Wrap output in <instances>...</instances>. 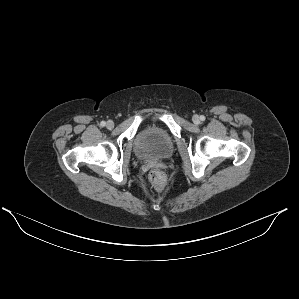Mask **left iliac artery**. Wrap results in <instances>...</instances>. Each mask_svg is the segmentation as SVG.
Returning <instances> with one entry per match:
<instances>
[{"label":"left iliac artery","instance_id":"44dca946","mask_svg":"<svg viewBox=\"0 0 299 299\" xmlns=\"http://www.w3.org/2000/svg\"><path fill=\"white\" fill-rule=\"evenodd\" d=\"M200 120H201V121H204V120H205V116L201 115V116H200Z\"/></svg>","mask_w":299,"mask_h":299}]
</instances>
